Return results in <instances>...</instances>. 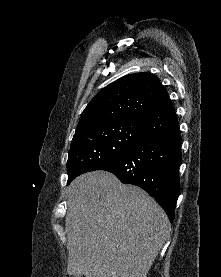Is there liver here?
Here are the masks:
<instances>
[{"label": "liver", "mask_w": 221, "mask_h": 277, "mask_svg": "<svg viewBox=\"0 0 221 277\" xmlns=\"http://www.w3.org/2000/svg\"><path fill=\"white\" fill-rule=\"evenodd\" d=\"M67 204L69 275L147 277L171 231L151 196L110 172L94 171L72 181Z\"/></svg>", "instance_id": "obj_1"}]
</instances>
